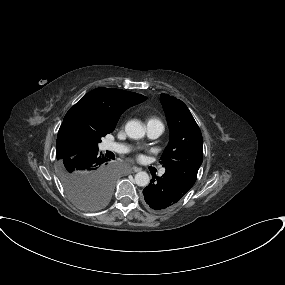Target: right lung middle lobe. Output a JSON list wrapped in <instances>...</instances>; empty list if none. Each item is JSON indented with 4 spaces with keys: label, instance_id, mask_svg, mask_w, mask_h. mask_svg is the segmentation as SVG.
Wrapping results in <instances>:
<instances>
[{
    "label": "right lung middle lobe",
    "instance_id": "1",
    "mask_svg": "<svg viewBox=\"0 0 285 285\" xmlns=\"http://www.w3.org/2000/svg\"><path fill=\"white\" fill-rule=\"evenodd\" d=\"M99 142L100 138L95 142L93 150H98ZM57 160L61 183L76 205L83 209L96 210L108 203L115 180L112 172L88 173L77 166L72 158L57 157Z\"/></svg>",
    "mask_w": 285,
    "mask_h": 285
}]
</instances>
